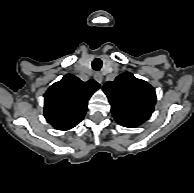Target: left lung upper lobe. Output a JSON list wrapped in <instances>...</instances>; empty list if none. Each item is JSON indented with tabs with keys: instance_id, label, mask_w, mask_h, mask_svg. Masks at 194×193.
Segmentation results:
<instances>
[{
	"instance_id": "5c2ea615",
	"label": "left lung upper lobe",
	"mask_w": 194,
	"mask_h": 193,
	"mask_svg": "<svg viewBox=\"0 0 194 193\" xmlns=\"http://www.w3.org/2000/svg\"><path fill=\"white\" fill-rule=\"evenodd\" d=\"M103 91L111 104L114 119L122 126H139L154 110L155 89L129 72L119 75L113 82H106Z\"/></svg>"
}]
</instances>
